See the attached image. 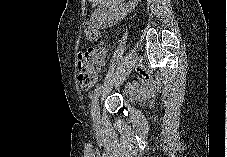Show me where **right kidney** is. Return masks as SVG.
<instances>
[{
	"mask_svg": "<svg viewBox=\"0 0 227 157\" xmlns=\"http://www.w3.org/2000/svg\"><path fill=\"white\" fill-rule=\"evenodd\" d=\"M112 2L119 3L121 1H110V3L107 4L103 3V5L98 6L95 10L94 16L96 17L99 26L115 24L123 19L129 11L127 8L122 6L116 8L114 5H111Z\"/></svg>",
	"mask_w": 227,
	"mask_h": 157,
	"instance_id": "1",
	"label": "right kidney"
}]
</instances>
